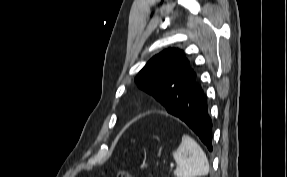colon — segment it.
<instances>
[{"label": "colon", "mask_w": 287, "mask_h": 177, "mask_svg": "<svg viewBox=\"0 0 287 177\" xmlns=\"http://www.w3.org/2000/svg\"><path fill=\"white\" fill-rule=\"evenodd\" d=\"M117 177H133V175L129 171L121 170L119 171Z\"/></svg>", "instance_id": "obj_1"}]
</instances>
